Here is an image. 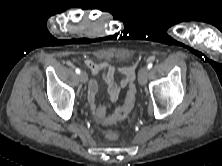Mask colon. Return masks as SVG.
<instances>
[{"mask_svg": "<svg viewBox=\"0 0 222 166\" xmlns=\"http://www.w3.org/2000/svg\"><path fill=\"white\" fill-rule=\"evenodd\" d=\"M135 99H136V86L132 82L129 85L124 103L120 107H118L114 111V113L105 120L104 124L109 125L124 120L132 111L135 104ZM106 136L109 139L114 140L117 138V133L114 131H107Z\"/></svg>", "mask_w": 222, "mask_h": 166, "instance_id": "1", "label": "colon"}]
</instances>
